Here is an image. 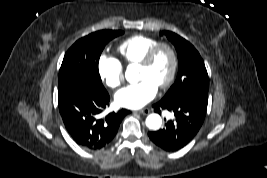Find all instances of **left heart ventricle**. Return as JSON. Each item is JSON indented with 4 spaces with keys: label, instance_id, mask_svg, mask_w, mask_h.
<instances>
[{
    "label": "left heart ventricle",
    "instance_id": "left-heart-ventricle-1",
    "mask_svg": "<svg viewBox=\"0 0 267 178\" xmlns=\"http://www.w3.org/2000/svg\"><path fill=\"white\" fill-rule=\"evenodd\" d=\"M171 68V57L167 50H161L148 67L139 68L138 80L149 79L159 86L168 76Z\"/></svg>",
    "mask_w": 267,
    "mask_h": 178
}]
</instances>
